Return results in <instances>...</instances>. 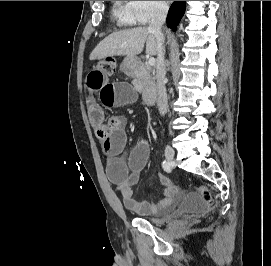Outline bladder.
Segmentation results:
<instances>
[{
  "mask_svg": "<svg viewBox=\"0 0 271 266\" xmlns=\"http://www.w3.org/2000/svg\"><path fill=\"white\" fill-rule=\"evenodd\" d=\"M204 211V206L201 198L196 193H187L181 205L175 209L172 213L166 216H148V215H138V218L144 219L153 224H162L175 217H182L190 213H199Z\"/></svg>",
  "mask_w": 271,
  "mask_h": 266,
  "instance_id": "1",
  "label": "bladder"
}]
</instances>
